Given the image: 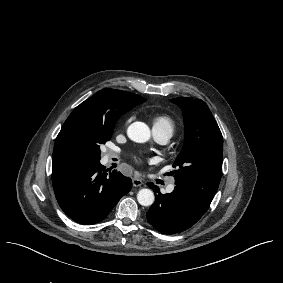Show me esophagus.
I'll use <instances>...</instances> for the list:
<instances>
[{
  "instance_id": "obj_1",
  "label": "esophagus",
  "mask_w": 283,
  "mask_h": 283,
  "mask_svg": "<svg viewBox=\"0 0 283 283\" xmlns=\"http://www.w3.org/2000/svg\"><path fill=\"white\" fill-rule=\"evenodd\" d=\"M132 184H133L134 187H139V186L143 185V181L138 179V178H133Z\"/></svg>"
}]
</instances>
